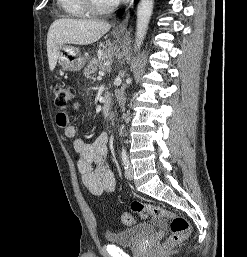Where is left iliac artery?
Instances as JSON below:
<instances>
[{
	"mask_svg": "<svg viewBox=\"0 0 247 257\" xmlns=\"http://www.w3.org/2000/svg\"><path fill=\"white\" fill-rule=\"evenodd\" d=\"M121 157H122V164L124 168L127 169L129 166V159H128L127 152L124 148H122Z\"/></svg>",
	"mask_w": 247,
	"mask_h": 257,
	"instance_id": "1",
	"label": "left iliac artery"
}]
</instances>
